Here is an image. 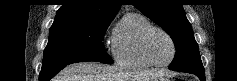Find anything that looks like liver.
Returning <instances> with one entry per match:
<instances>
[{
  "mask_svg": "<svg viewBox=\"0 0 237 81\" xmlns=\"http://www.w3.org/2000/svg\"><path fill=\"white\" fill-rule=\"evenodd\" d=\"M164 75L161 70L122 71L115 66L80 62L64 68L54 81H152Z\"/></svg>",
  "mask_w": 237,
  "mask_h": 81,
  "instance_id": "1",
  "label": "liver"
}]
</instances>
